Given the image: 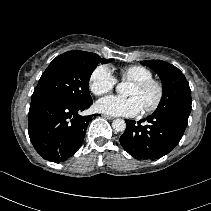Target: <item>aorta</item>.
<instances>
[{"instance_id":"1","label":"aorta","mask_w":211,"mask_h":211,"mask_svg":"<svg viewBox=\"0 0 211 211\" xmlns=\"http://www.w3.org/2000/svg\"><path fill=\"white\" fill-rule=\"evenodd\" d=\"M116 91L120 94H123L125 91V85L124 83H120L116 86ZM112 127L115 131L117 132H122L125 130L126 128V123L123 119H115L112 122Z\"/></svg>"}]
</instances>
